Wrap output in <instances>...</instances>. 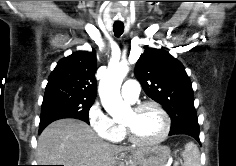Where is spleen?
I'll return each instance as SVG.
<instances>
[{
  "label": "spleen",
  "mask_w": 236,
  "mask_h": 166,
  "mask_svg": "<svg viewBox=\"0 0 236 166\" xmlns=\"http://www.w3.org/2000/svg\"><path fill=\"white\" fill-rule=\"evenodd\" d=\"M182 157L184 160L183 166H201L200 152L193 142H189L185 145Z\"/></svg>",
  "instance_id": "spleen-1"
}]
</instances>
